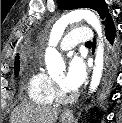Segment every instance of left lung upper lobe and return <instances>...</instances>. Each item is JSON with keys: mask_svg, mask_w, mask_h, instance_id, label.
<instances>
[{"mask_svg": "<svg viewBox=\"0 0 122 123\" xmlns=\"http://www.w3.org/2000/svg\"><path fill=\"white\" fill-rule=\"evenodd\" d=\"M58 5L62 9H76V8H91L96 10L101 19L107 17L108 8L104 0H57Z\"/></svg>", "mask_w": 122, "mask_h": 123, "instance_id": "obj_1", "label": "left lung upper lobe"}]
</instances>
